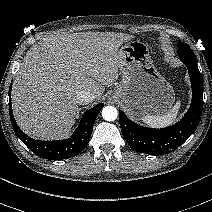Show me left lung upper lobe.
<instances>
[{"instance_id":"1","label":"left lung upper lobe","mask_w":212,"mask_h":212,"mask_svg":"<svg viewBox=\"0 0 212 212\" xmlns=\"http://www.w3.org/2000/svg\"><path fill=\"white\" fill-rule=\"evenodd\" d=\"M178 55H183V56H191L195 57L193 51L189 47L188 44L183 43L181 41L178 42V50H177Z\"/></svg>"}]
</instances>
